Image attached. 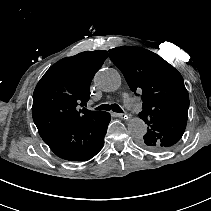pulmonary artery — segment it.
Returning a JSON list of instances; mask_svg holds the SVG:
<instances>
[{
  "mask_svg": "<svg viewBox=\"0 0 211 211\" xmlns=\"http://www.w3.org/2000/svg\"><path fill=\"white\" fill-rule=\"evenodd\" d=\"M126 108L129 111L140 112L143 109V104L137 99L129 98L126 100Z\"/></svg>",
  "mask_w": 211,
  "mask_h": 211,
  "instance_id": "e3ab8cb5",
  "label": "pulmonary artery"
}]
</instances>
